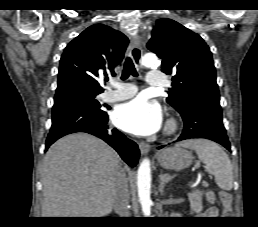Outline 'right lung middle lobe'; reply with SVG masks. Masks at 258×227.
<instances>
[{
	"instance_id": "dd1d6c3e",
	"label": "right lung middle lobe",
	"mask_w": 258,
	"mask_h": 227,
	"mask_svg": "<svg viewBox=\"0 0 258 227\" xmlns=\"http://www.w3.org/2000/svg\"><path fill=\"white\" fill-rule=\"evenodd\" d=\"M100 92L85 90V89H69L57 92L54 98V106L75 105L89 110L96 114H104L98 102Z\"/></svg>"
}]
</instances>
